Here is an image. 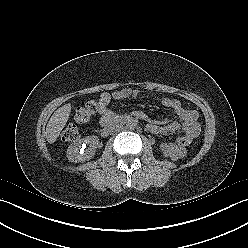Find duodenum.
Returning a JSON list of instances; mask_svg holds the SVG:
<instances>
[{"mask_svg":"<svg viewBox=\"0 0 248 248\" xmlns=\"http://www.w3.org/2000/svg\"><path fill=\"white\" fill-rule=\"evenodd\" d=\"M133 121L136 120L132 116H116L110 122L104 125V127L102 128V135L108 136L112 132V130L117 126L124 125Z\"/></svg>","mask_w":248,"mask_h":248,"instance_id":"410a0bca","label":"duodenum"}]
</instances>
